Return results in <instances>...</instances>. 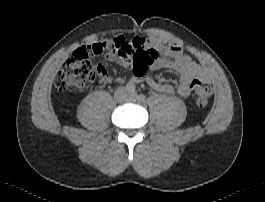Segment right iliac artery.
<instances>
[{
    "label": "right iliac artery",
    "instance_id": "right-iliac-artery-1",
    "mask_svg": "<svg viewBox=\"0 0 265 202\" xmlns=\"http://www.w3.org/2000/svg\"><path fill=\"white\" fill-rule=\"evenodd\" d=\"M125 89H126L127 92H129L131 94H134L135 91H136V87H135V85L132 82H128L125 85Z\"/></svg>",
    "mask_w": 265,
    "mask_h": 202
}]
</instances>
